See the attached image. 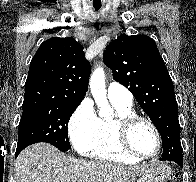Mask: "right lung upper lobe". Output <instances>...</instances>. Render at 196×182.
<instances>
[{
    "mask_svg": "<svg viewBox=\"0 0 196 182\" xmlns=\"http://www.w3.org/2000/svg\"><path fill=\"white\" fill-rule=\"evenodd\" d=\"M91 68L83 46L75 39L50 38L31 60L23 108L79 105L86 95Z\"/></svg>",
    "mask_w": 196,
    "mask_h": 182,
    "instance_id": "1",
    "label": "right lung upper lobe"
}]
</instances>
